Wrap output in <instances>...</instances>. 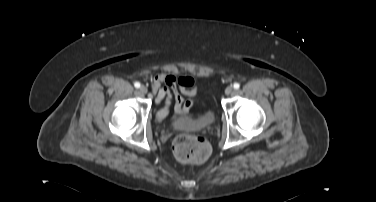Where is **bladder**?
Instances as JSON below:
<instances>
[{
    "label": "bladder",
    "mask_w": 376,
    "mask_h": 202,
    "mask_svg": "<svg viewBox=\"0 0 376 202\" xmlns=\"http://www.w3.org/2000/svg\"><path fill=\"white\" fill-rule=\"evenodd\" d=\"M215 116L211 110H205L197 117H182L174 122V126L181 129H195L211 125L214 122Z\"/></svg>",
    "instance_id": "1"
}]
</instances>
